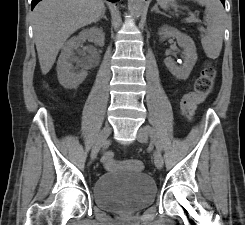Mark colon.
Returning a JSON list of instances; mask_svg holds the SVG:
<instances>
[{
  "instance_id": "colon-1",
  "label": "colon",
  "mask_w": 245,
  "mask_h": 225,
  "mask_svg": "<svg viewBox=\"0 0 245 225\" xmlns=\"http://www.w3.org/2000/svg\"><path fill=\"white\" fill-rule=\"evenodd\" d=\"M217 73L216 70L206 63L201 70L200 75L195 81L193 90L185 93L181 101L182 114L187 120H192L198 104L202 103L212 92ZM102 165L105 169L111 170L118 166H124L132 171L140 172L143 170V164L139 160L116 161L111 152H106L102 159Z\"/></svg>"
}]
</instances>
